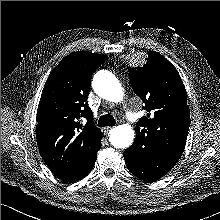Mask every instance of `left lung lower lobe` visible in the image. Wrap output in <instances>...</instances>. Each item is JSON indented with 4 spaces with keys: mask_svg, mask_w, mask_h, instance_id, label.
Here are the masks:
<instances>
[{
    "mask_svg": "<svg viewBox=\"0 0 220 220\" xmlns=\"http://www.w3.org/2000/svg\"><path fill=\"white\" fill-rule=\"evenodd\" d=\"M124 158L128 170L137 178L148 182L157 181L177 163L153 150H141L136 140L124 151Z\"/></svg>",
    "mask_w": 220,
    "mask_h": 220,
    "instance_id": "obj_1",
    "label": "left lung lower lobe"
}]
</instances>
